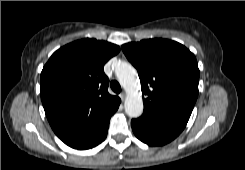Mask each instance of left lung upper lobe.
<instances>
[{"mask_svg":"<svg viewBox=\"0 0 245 170\" xmlns=\"http://www.w3.org/2000/svg\"><path fill=\"white\" fill-rule=\"evenodd\" d=\"M122 50L138 71L144 109L188 122L198 96L194 54L167 39L127 43Z\"/></svg>","mask_w":245,"mask_h":170,"instance_id":"1","label":"left lung upper lobe"}]
</instances>
